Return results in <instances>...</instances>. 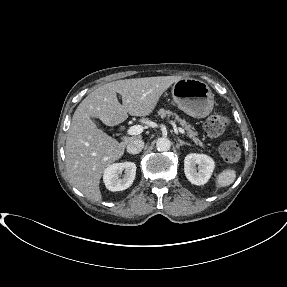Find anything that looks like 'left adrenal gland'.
Listing matches in <instances>:
<instances>
[{"instance_id":"left-adrenal-gland-1","label":"left adrenal gland","mask_w":287,"mask_h":287,"mask_svg":"<svg viewBox=\"0 0 287 287\" xmlns=\"http://www.w3.org/2000/svg\"><path fill=\"white\" fill-rule=\"evenodd\" d=\"M178 142H179V146H183V145H188V146H190V145H191L190 143H187V142L182 141L180 138H178Z\"/></svg>"}]
</instances>
